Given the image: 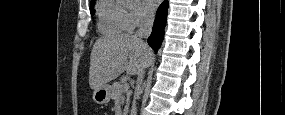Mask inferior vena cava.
<instances>
[{"label": "inferior vena cava", "instance_id": "obj_1", "mask_svg": "<svg viewBox=\"0 0 285 115\" xmlns=\"http://www.w3.org/2000/svg\"><path fill=\"white\" fill-rule=\"evenodd\" d=\"M154 17L153 15H146L141 20L139 29L136 31L134 37L143 45L146 46V43L143 41V38H148L152 31ZM144 78V69H141L137 73V84L138 90H135V101H142L144 90H142V82Z\"/></svg>", "mask_w": 285, "mask_h": 115}]
</instances>
